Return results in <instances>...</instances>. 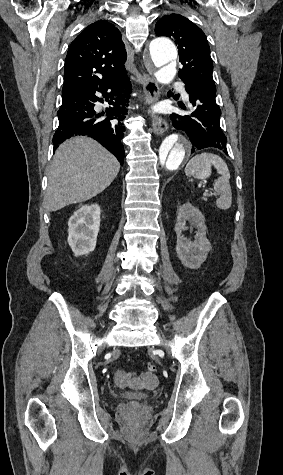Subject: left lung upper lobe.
<instances>
[{"label": "left lung upper lobe", "instance_id": "5c2ea615", "mask_svg": "<svg viewBox=\"0 0 283 475\" xmlns=\"http://www.w3.org/2000/svg\"><path fill=\"white\" fill-rule=\"evenodd\" d=\"M157 36H167L178 44L179 61L183 64L181 81L197 82L215 87L213 63L204 32L180 14L164 15L155 25Z\"/></svg>", "mask_w": 283, "mask_h": 475}]
</instances>
